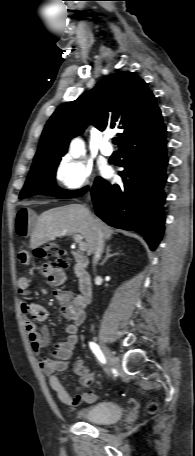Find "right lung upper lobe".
Wrapping results in <instances>:
<instances>
[{"label":"right lung upper lobe","instance_id":"cb5924a9","mask_svg":"<svg viewBox=\"0 0 195 456\" xmlns=\"http://www.w3.org/2000/svg\"><path fill=\"white\" fill-rule=\"evenodd\" d=\"M89 123L101 131L107 127L121 129L120 148L142 133L166 131L147 84L131 72H119L56 109L44 128L33 165L60 159L70 139L81 134Z\"/></svg>","mask_w":195,"mask_h":456}]
</instances>
